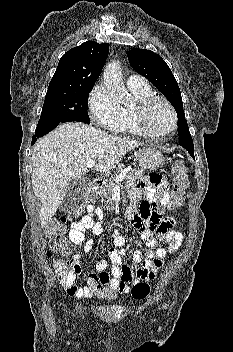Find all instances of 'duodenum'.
Returning <instances> with one entry per match:
<instances>
[{
  "label": "duodenum",
  "mask_w": 233,
  "mask_h": 352,
  "mask_svg": "<svg viewBox=\"0 0 233 352\" xmlns=\"http://www.w3.org/2000/svg\"><path fill=\"white\" fill-rule=\"evenodd\" d=\"M102 180L96 178L94 181H93V186H92V192L94 194H98L100 193L101 189H102Z\"/></svg>",
  "instance_id": "obj_1"
}]
</instances>
